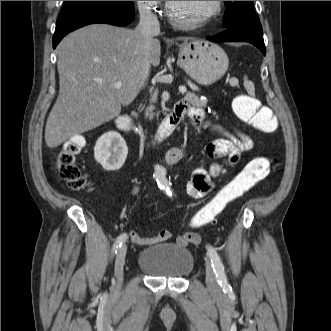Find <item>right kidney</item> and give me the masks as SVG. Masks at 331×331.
Here are the masks:
<instances>
[{"instance_id": "1", "label": "right kidney", "mask_w": 331, "mask_h": 331, "mask_svg": "<svg viewBox=\"0 0 331 331\" xmlns=\"http://www.w3.org/2000/svg\"><path fill=\"white\" fill-rule=\"evenodd\" d=\"M128 148L123 137L109 131L98 138L94 147V158L107 171L120 169L127 157Z\"/></svg>"}]
</instances>
